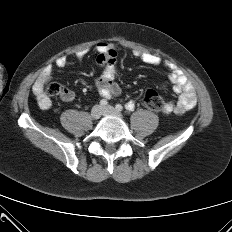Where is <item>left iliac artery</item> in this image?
<instances>
[{
    "label": "left iliac artery",
    "mask_w": 232,
    "mask_h": 232,
    "mask_svg": "<svg viewBox=\"0 0 232 232\" xmlns=\"http://www.w3.org/2000/svg\"><path fill=\"white\" fill-rule=\"evenodd\" d=\"M117 111H122L123 110V106L121 104H117L115 106ZM126 109L129 111H133L134 110V103L130 102L126 105Z\"/></svg>",
    "instance_id": "44dca946"
}]
</instances>
